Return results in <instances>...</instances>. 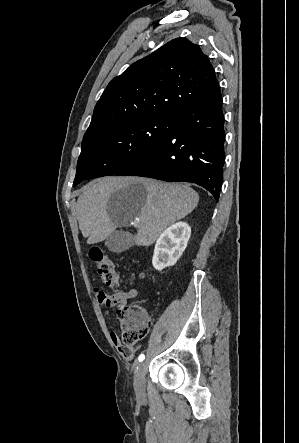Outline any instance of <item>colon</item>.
Here are the masks:
<instances>
[{
	"mask_svg": "<svg viewBox=\"0 0 299 443\" xmlns=\"http://www.w3.org/2000/svg\"><path fill=\"white\" fill-rule=\"evenodd\" d=\"M89 257L96 264L102 283L107 287L119 289V278L113 260L97 246L89 249ZM117 316L121 330L120 351L124 357H130L131 346L148 335L152 324L151 317L140 305H122L117 310Z\"/></svg>",
	"mask_w": 299,
	"mask_h": 443,
	"instance_id": "5ec220e1",
	"label": "colon"
}]
</instances>
